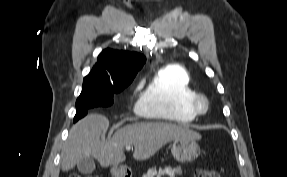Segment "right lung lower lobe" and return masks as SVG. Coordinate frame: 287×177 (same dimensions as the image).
I'll list each match as a JSON object with an SVG mask.
<instances>
[{"instance_id": "obj_1", "label": "right lung lower lobe", "mask_w": 287, "mask_h": 177, "mask_svg": "<svg viewBox=\"0 0 287 177\" xmlns=\"http://www.w3.org/2000/svg\"><path fill=\"white\" fill-rule=\"evenodd\" d=\"M88 110L89 109L80 110V111H78V113L81 114L82 117H83V116H85L87 114Z\"/></svg>"}]
</instances>
